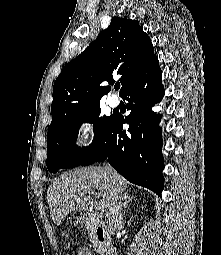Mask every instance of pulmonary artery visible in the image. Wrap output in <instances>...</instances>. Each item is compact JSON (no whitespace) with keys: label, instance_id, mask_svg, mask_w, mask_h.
<instances>
[{"label":"pulmonary artery","instance_id":"pulmonary-artery-1","mask_svg":"<svg viewBox=\"0 0 221 255\" xmlns=\"http://www.w3.org/2000/svg\"><path fill=\"white\" fill-rule=\"evenodd\" d=\"M107 101H108L109 105L112 107H115L118 104V98L115 95L108 96Z\"/></svg>","mask_w":221,"mask_h":255}]
</instances>
